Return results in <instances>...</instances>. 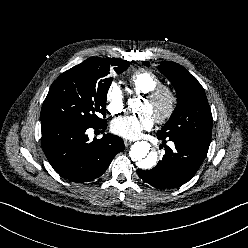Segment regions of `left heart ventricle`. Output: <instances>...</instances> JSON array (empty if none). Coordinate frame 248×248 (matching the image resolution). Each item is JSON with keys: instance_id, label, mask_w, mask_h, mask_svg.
Returning <instances> with one entry per match:
<instances>
[{"instance_id": "obj_1", "label": "left heart ventricle", "mask_w": 248, "mask_h": 248, "mask_svg": "<svg viewBox=\"0 0 248 248\" xmlns=\"http://www.w3.org/2000/svg\"><path fill=\"white\" fill-rule=\"evenodd\" d=\"M166 109V101L164 99L158 102H151L147 99L144 100L141 112L149 113L153 118L161 115Z\"/></svg>"}]
</instances>
